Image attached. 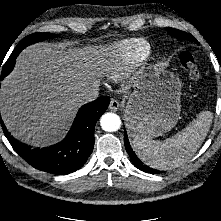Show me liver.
<instances>
[{
    "label": "liver",
    "mask_w": 221,
    "mask_h": 221,
    "mask_svg": "<svg viewBox=\"0 0 221 221\" xmlns=\"http://www.w3.org/2000/svg\"><path fill=\"white\" fill-rule=\"evenodd\" d=\"M87 53L37 44L20 54L0 90L1 117L15 138L44 146L62 136L82 104L77 94L98 86Z\"/></svg>",
    "instance_id": "liver-1"
}]
</instances>
